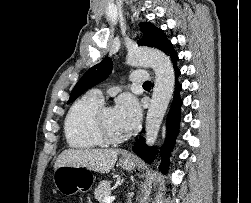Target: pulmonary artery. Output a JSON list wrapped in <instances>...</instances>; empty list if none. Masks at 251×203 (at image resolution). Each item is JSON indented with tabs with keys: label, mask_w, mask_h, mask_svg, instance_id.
I'll list each match as a JSON object with an SVG mask.
<instances>
[{
	"label": "pulmonary artery",
	"mask_w": 251,
	"mask_h": 203,
	"mask_svg": "<svg viewBox=\"0 0 251 203\" xmlns=\"http://www.w3.org/2000/svg\"><path fill=\"white\" fill-rule=\"evenodd\" d=\"M130 80L132 83H144V82L148 81V74L143 71H134L130 75ZM89 93L92 94L93 96L103 100V95H102L101 90L92 89V90H90Z\"/></svg>",
	"instance_id": "1"
}]
</instances>
